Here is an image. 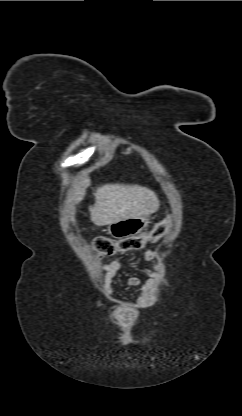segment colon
<instances>
[{"mask_svg":"<svg viewBox=\"0 0 242 416\" xmlns=\"http://www.w3.org/2000/svg\"><path fill=\"white\" fill-rule=\"evenodd\" d=\"M171 226V220L166 219L158 223L149 232L134 235L118 241H113L107 237H97L94 248L102 257H110L115 254L125 253L131 250H138L145 247L148 243L160 240Z\"/></svg>","mask_w":242,"mask_h":416,"instance_id":"obj_1","label":"colon"}]
</instances>
